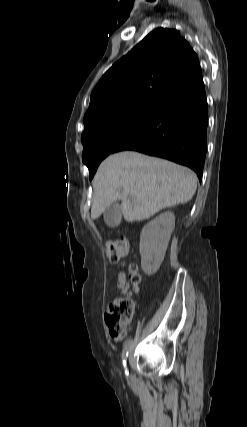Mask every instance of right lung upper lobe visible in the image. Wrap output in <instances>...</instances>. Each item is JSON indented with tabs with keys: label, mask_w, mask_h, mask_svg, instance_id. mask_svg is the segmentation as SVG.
<instances>
[{
	"label": "right lung upper lobe",
	"mask_w": 247,
	"mask_h": 427,
	"mask_svg": "<svg viewBox=\"0 0 247 427\" xmlns=\"http://www.w3.org/2000/svg\"><path fill=\"white\" fill-rule=\"evenodd\" d=\"M201 76L198 57L179 31L157 28L102 76L91 94L85 128L125 108L158 106Z\"/></svg>",
	"instance_id": "right-lung-upper-lobe-1"
}]
</instances>
